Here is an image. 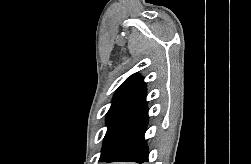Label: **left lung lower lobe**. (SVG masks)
<instances>
[{"label": "left lung lower lobe", "instance_id": "1", "mask_svg": "<svg viewBox=\"0 0 251 164\" xmlns=\"http://www.w3.org/2000/svg\"><path fill=\"white\" fill-rule=\"evenodd\" d=\"M148 108L144 95L130 110L121 125L114 150L109 158L101 162H148V148L144 134L148 124Z\"/></svg>", "mask_w": 251, "mask_h": 164}]
</instances>
